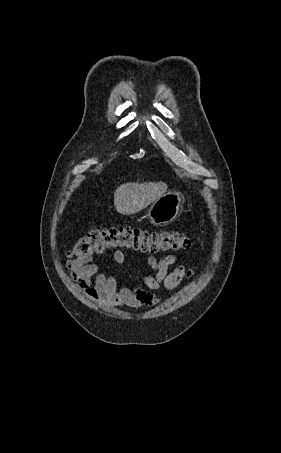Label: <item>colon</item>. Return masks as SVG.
<instances>
[{"instance_id":"obj_1","label":"colon","mask_w":281,"mask_h":453,"mask_svg":"<svg viewBox=\"0 0 281 453\" xmlns=\"http://www.w3.org/2000/svg\"><path fill=\"white\" fill-rule=\"evenodd\" d=\"M123 249L149 250L150 255L183 252L188 249L186 235L177 230H151L138 226H94L81 236L70 257L76 262H89L114 255Z\"/></svg>"}]
</instances>
